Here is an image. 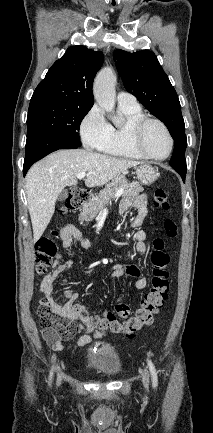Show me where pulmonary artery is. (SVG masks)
<instances>
[{
	"label": "pulmonary artery",
	"instance_id": "1",
	"mask_svg": "<svg viewBox=\"0 0 213 433\" xmlns=\"http://www.w3.org/2000/svg\"><path fill=\"white\" fill-rule=\"evenodd\" d=\"M117 101L119 105L137 107L139 106L137 99L134 95L129 92L121 91L117 95Z\"/></svg>",
	"mask_w": 213,
	"mask_h": 433
}]
</instances>
